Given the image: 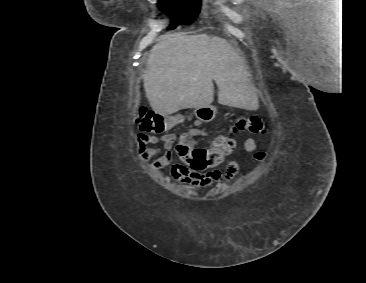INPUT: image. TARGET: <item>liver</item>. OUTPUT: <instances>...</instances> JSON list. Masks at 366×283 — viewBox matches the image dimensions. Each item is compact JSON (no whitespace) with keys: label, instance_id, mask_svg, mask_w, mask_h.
<instances>
[{"label":"liver","instance_id":"6515ba94","mask_svg":"<svg viewBox=\"0 0 366 283\" xmlns=\"http://www.w3.org/2000/svg\"><path fill=\"white\" fill-rule=\"evenodd\" d=\"M244 59L223 38L207 34L166 37L154 45L144 72L151 107L163 116L208 106L214 80L218 102L246 110L259 108Z\"/></svg>","mask_w":366,"mask_h":283}]
</instances>
